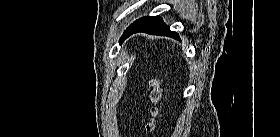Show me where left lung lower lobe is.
Returning <instances> with one entry per match:
<instances>
[{
    "label": "left lung lower lobe",
    "instance_id": "1",
    "mask_svg": "<svg viewBox=\"0 0 280 137\" xmlns=\"http://www.w3.org/2000/svg\"><path fill=\"white\" fill-rule=\"evenodd\" d=\"M137 32H145V33H149L152 35H159V36H169L171 38L180 40L179 35L176 32L170 31L169 26H167L163 22L160 16L143 17L140 21H138L136 24L131 26L126 31L121 42L127 37H129L130 35Z\"/></svg>",
    "mask_w": 280,
    "mask_h": 137
}]
</instances>
